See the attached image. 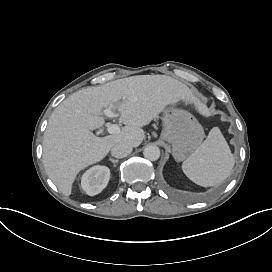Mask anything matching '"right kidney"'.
Masks as SVG:
<instances>
[{
    "mask_svg": "<svg viewBox=\"0 0 272 272\" xmlns=\"http://www.w3.org/2000/svg\"><path fill=\"white\" fill-rule=\"evenodd\" d=\"M110 170L107 167L95 166L88 170L82 179V187L90 196L97 195L107 185Z\"/></svg>",
    "mask_w": 272,
    "mask_h": 272,
    "instance_id": "ca27d5eb",
    "label": "right kidney"
}]
</instances>
